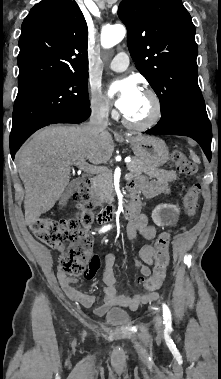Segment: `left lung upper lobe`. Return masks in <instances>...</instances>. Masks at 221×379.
<instances>
[{
    "instance_id": "obj_1",
    "label": "left lung upper lobe",
    "mask_w": 221,
    "mask_h": 379,
    "mask_svg": "<svg viewBox=\"0 0 221 379\" xmlns=\"http://www.w3.org/2000/svg\"><path fill=\"white\" fill-rule=\"evenodd\" d=\"M118 16L136 68L171 108L206 113L197 81L195 26L181 0H122Z\"/></svg>"
}]
</instances>
